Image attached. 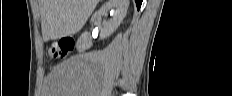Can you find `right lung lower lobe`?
Returning <instances> with one entry per match:
<instances>
[{"label":"right lung lower lobe","mask_w":232,"mask_h":96,"mask_svg":"<svg viewBox=\"0 0 232 96\" xmlns=\"http://www.w3.org/2000/svg\"><path fill=\"white\" fill-rule=\"evenodd\" d=\"M135 2H136V5H137V9L139 10L140 6H141V3H142V0H135Z\"/></svg>","instance_id":"98d812e1"}]
</instances>
